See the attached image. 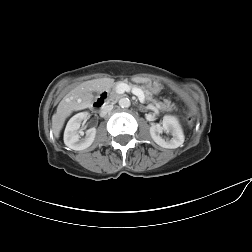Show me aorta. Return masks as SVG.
Wrapping results in <instances>:
<instances>
[{
	"label": "aorta",
	"mask_w": 252,
	"mask_h": 252,
	"mask_svg": "<svg viewBox=\"0 0 252 252\" xmlns=\"http://www.w3.org/2000/svg\"><path fill=\"white\" fill-rule=\"evenodd\" d=\"M130 105H131V102L128 98H121L119 100V106L122 108H128L130 107Z\"/></svg>",
	"instance_id": "obj_1"
}]
</instances>
